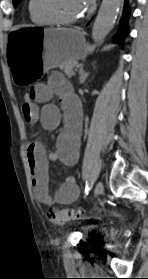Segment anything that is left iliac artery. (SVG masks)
Returning <instances> with one entry per match:
<instances>
[{
  "label": "left iliac artery",
  "mask_w": 148,
  "mask_h": 279,
  "mask_svg": "<svg viewBox=\"0 0 148 279\" xmlns=\"http://www.w3.org/2000/svg\"><path fill=\"white\" fill-rule=\"evenodd\" d=\"M91 187H92L91 182H87L86 183V187H85V195L88 194V192L90 191Z\"/></svg>",
  "instance_id": "1"
}]
</instances>
